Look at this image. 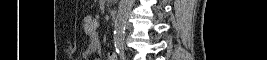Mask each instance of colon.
<instances>
[{"mask_svg":"<svg viewBox=\"0 0 267 60\" xmlns=\"http://www.w3.org/2000/svg\"><path fill=\"white\" fill-rule=\"evenodd\" d=\"M83 26H84V31L87 34H91L94 33L98 28V23L97 20L92 15H86L84 17Z\"/></svg>","mask_w":267,"mask_h":60,"instance_id":"1","label":"colon"}]
</instances>
